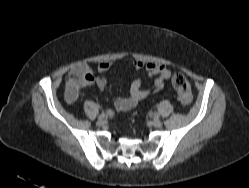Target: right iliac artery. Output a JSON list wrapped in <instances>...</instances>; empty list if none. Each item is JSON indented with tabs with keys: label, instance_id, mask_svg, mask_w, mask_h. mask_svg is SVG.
Returning <instances> with one entry per match:
<instances>
[{
	"label": "right iliac artery",
	"instance_id": "82829eb1",
	"mask_svg": "<svg viewBox=\"0 0 249 188\" xmlns=\"http://www.w3.org/2000/svg\"><path fill=\"white\" fill-rule=\"evenodd\" d=\"M105 116H106L105 113H101V114L99 115L98 119H103V118H105Z\"/></svg>",
	"mask_w": 249,
	"mask_h": 188
}]
</instances>
